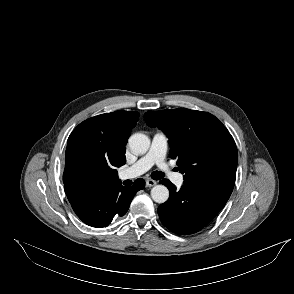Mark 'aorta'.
<instances>
[{
  "instance_id": "1",
  "label": "aorta",
  "mask_w": 294,
  "mask_h": 294,
  "mask_svg": "<svg viewBox=\"0 0 294 294\" xmlns=\"http://www.w3.org/2000/svg\"><path fill=\"white\" fill-rule=\"evenodd\" d=\"M131 151L135 154H145L150 147V139L143 133H135L128 141ZM151 197L156 203H164L169 198V190L164 185H156L151 189Z\"/></svg>"
}]
</instances>
